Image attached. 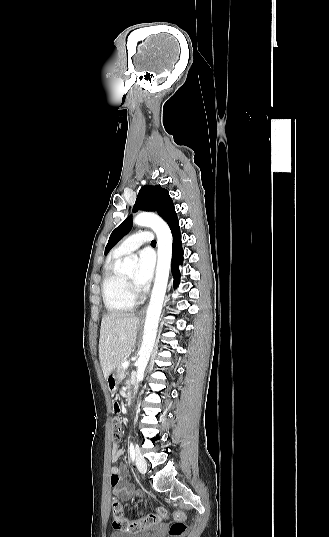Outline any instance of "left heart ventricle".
Segmentation results:
<instances>
[{
  "mask_svg": "<svg viewBox=\"0 0 329 537\" xmlns=\"http://www.w3.org/2000/svg\"><path fill=\"white\" fill-rule=\"evenodd\" d=\"M135 274H136V271L135 270H131L130 272H127L125 274L126 278L128 280H130L131 282H133L134 278H135Z\"/></svg>",
  "mask_w": 329,
  "mask_h": 537,
  "instance_id": "left-heart-ventricle-1",
  "label": "left heart ventricle"
}]
</instances>
